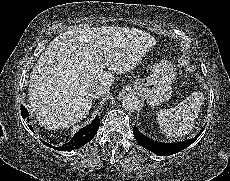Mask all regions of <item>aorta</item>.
Masks as SVG:
<instances>
[{"label":"aorta","mask_w":230,"mask_h":181,"mask_svg":"<svg viewBox=\"0 0 230 181\" xmlns=\"http://www.w3.org/2000/svg\"><path fill=\"white\" fill-rule=\"evenodd\" d=\"M122 105L125 110L134 112L140 109L141 102L139 98L134 94H126L122 98Z\"/></svg>","instance_id":"aorta-1"}]
</instances>
